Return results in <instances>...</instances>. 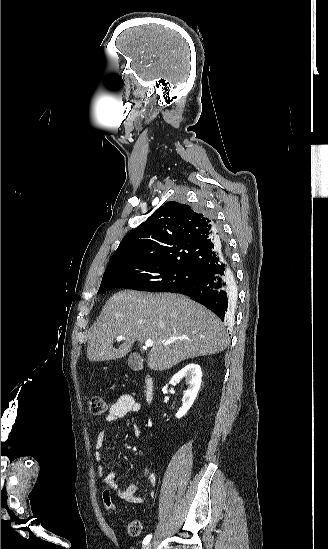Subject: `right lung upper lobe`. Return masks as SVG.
<instances>
[{"mask_svg": "<svg viewBox=\"0 0 328 549\" xmlns=\"http://www.w3.org/2000/svg\"><path fill=\"white\" fill-rule=\"evenodd\" d=\"M226 256V243L213 219L169 201L123 238L106 271L128 261H147L204 273Z\"/></svg>", "mask_w": 328, "mask_h": 549, "instance_id": "cb5924a9", "label": "right lung upper lobe"}]
</instances>
